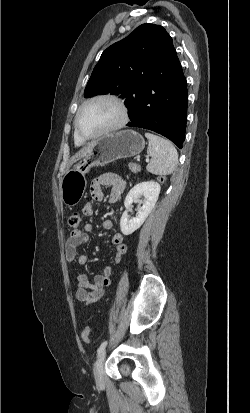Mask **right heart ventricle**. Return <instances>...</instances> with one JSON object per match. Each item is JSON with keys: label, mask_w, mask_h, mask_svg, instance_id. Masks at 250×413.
<instances>
[{"label": "right heart ventricle", "mask_w": 250, "mask_h": 413, "mask_svg": "<svg viewBox=\"0 0 250 413\" xmlns=\"http://www.w3.org/2000/svg\"><path fill=\"white\" fill-rule=\"evenodd\" d=\"M74 141L77 146L83 145L84 141L81 140L76 134L74 135Z\"/></svg>", "instance_id": "e07e8e85"}]
</instances>
